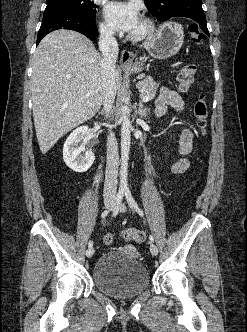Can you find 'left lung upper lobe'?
<instances>
[{
  "mask_svg": "<svg viewBox=\"0 0 247 332\" xmlns=\"http://www.w3.org/2000/svg\"><path fill=\"white\" fill-rule=\"evenodd\" d=\"M144 3L160 21L173 17H205L202 0H144Z\"/></svg>",
  "mask_w": 247,
  "mask_h": 332,
  "instance_id": "1",
  "label": "left lung upper lobe"
}]
</instances>
